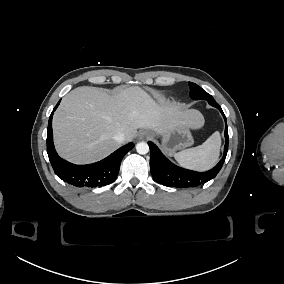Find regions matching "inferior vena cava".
<instances>
[{"instance_id":"inferior-vena-cava-1","label":"inferior vena cava","mask_w":284,"mask_h":284,"mask_svg":"<svg viewBox=\"0 0 284 284\" xmlns=\"http://www.w3.org/2000/svg\"><path fill=\"white\" fill-rule=\"evenodd\" d=\"M113 139L118 142V143H123L124 142V139H125V136L123 133L119 132L117 133L116 135H114Z\"/></svg>"}]
</instances>
